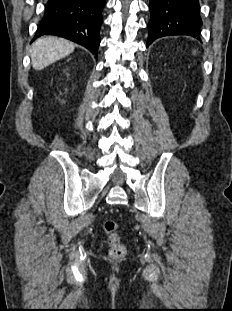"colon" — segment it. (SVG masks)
<instances>
[{
  "label": "colon",
  "mask_w": 232,
  "mask_h": 311,
  "mask_svg": "<svg viewBox=\"0 0 232 311\" xmlns=\"http://www.w3.org/2000/svg\"><path fill=\"white\" fill-rule=\"evenodd\" d=\"M104 232L108 238L109 254L112 258L117 259L125 255L126 248L120 241L119 226L113 220H107L103 224Z\"/></svg>",
  "instance_id": "1"
}]
</instances>
